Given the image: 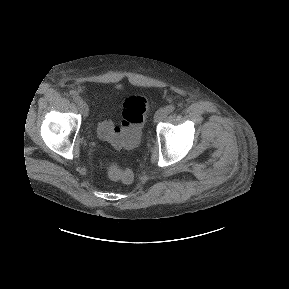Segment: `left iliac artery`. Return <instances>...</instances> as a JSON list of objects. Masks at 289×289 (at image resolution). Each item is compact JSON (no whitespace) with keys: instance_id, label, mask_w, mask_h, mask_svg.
<instances>
[{"instance_id":"obj_1","label":"left iliac artery","mask_w":289,"mask_h":289,"mask_svg":"<svg viewBox=\"0 0 289 289\" xmlns=\"http://www.w3.org/2000/svg\"><path fill=\"white\" fill-rule=\"evenodd\" d=\"M168 113H171L175 110V106L173 104H170L166 107Z\"/></svg>"}]
</instances>
